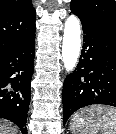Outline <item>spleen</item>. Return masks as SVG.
Listing matches in <instances>:
<instances>
[{
	"label": "spleen",
	"instance_id": "3e777b00",
	"mask_svg": "<svg viewBox=\"0 0 116 134\" xmlns=\"http://www.w3.org/2000/svg\"><path fill=\"white\" fill-rule=\"evenodd\" d=\"M72 134H116V108L93 105L76 112L71 119Z\"/></svg>",
	"mask_w": 116,
	"mask_h": 134
}]
</instances>
